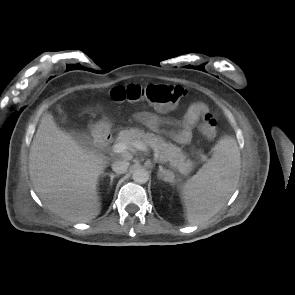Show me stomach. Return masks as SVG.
I'll return each instance as SVG.
<instances>
[{
  "instance_id": "stomach-1",
  "label": "stomach",
  "mask_w": 295,
  "mask_h": 295,
  "mask_svg": "<svg viewBox=\"0 0 295 295\" xmlns=\"http://www.w3.org/2000/svg\"><path fill=\"white\" fill-rule=\"evenodd\" d=\"M111 123L109 121H101L96 125V130L98 132H108L110 130Z\"/></svg>"
}]
</instances>
